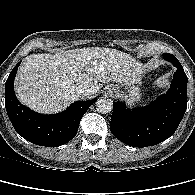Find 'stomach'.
Masks as SVG:
<instances>
[{"mask_svg": "<svg viewBox=\"0 0 195 195\" xmlns=\"http://www.w3.org/2000/svg\"><path fill=\"white\" fill-rule=\"evenodd\" d=\"M140 79L131 85H109L106 90L107 93L112 94L118 98L128 100L131 103H137L141 100L142 93L139 87Z\"/></svg>", "mask_w": 195, "mask_h": 195, "instance_id": "0dacf381", "label": "stomach"}]
</instances>
